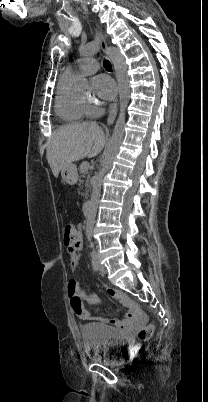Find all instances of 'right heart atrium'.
<instances>
[{
	"instance_id": "obj_1",
	"label": "right heart atrium",
	"mask_w": 208,
	"mask_h": 402,
	"mask_svg": "<svg viewBox=\"0 0 208 402\" xmlns=\"http://www.w3.org/2000/svg\"><path fill=\"white\" fill-rule=\"evenodd\" d=\"M84 103L88 118L90 119L96 118L102 112V108L99 103H91L88 101H84Z\"/></svg>"
}]
</instances>
